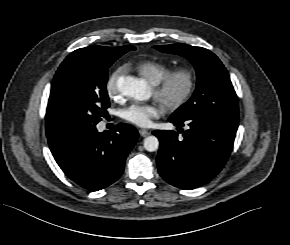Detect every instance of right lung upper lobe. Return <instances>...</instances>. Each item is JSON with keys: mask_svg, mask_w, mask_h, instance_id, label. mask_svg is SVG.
Segmentation results:
<instances>
[{"mask_svg": "<svg viewBox=\"0 0 290 245\" xmlns=\"http://www.w3.org/2000/svg\"><path fill=\"white\" fill-rule=\"evenodd\" d=\"M84 49H87V50H94V51H98V52H116V51H119V50H122V49H135L134 46L132 45H127V46H121V47H104V46H98V45H92V46H89V47H86ZM65 129V127L59 125V124H56L55 122L51 121L48 117H46V133H47V136L53 134V133H56L60 130H63Z\"/></svg>", "mask_w": 290, "mask_h": 245, "instance_id": "right-lung-upper-lobe-1", "label": "right lung upper lobe"}]
</instances>
